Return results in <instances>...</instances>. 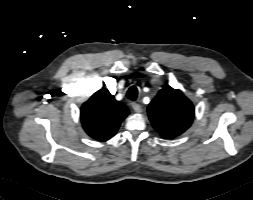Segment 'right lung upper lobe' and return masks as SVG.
I'll return each mask as SVG.
<instances>
[{"instance_id":"obj_1","label":"right lung upper lobe","mask_w":253,"mask_h":200,"mask_svg":"<svg viewBox=\"0 0 253 200\" xmlns=\"http://www.w3.org/2000/svg\"><path fill=\"white\" fill-rule=\"evenodd\" d=\"M128 115V108L115 100L107 89L94 93L81 107L84 130L99 141L110 139Z\"/></svg>"}]
</instances>
